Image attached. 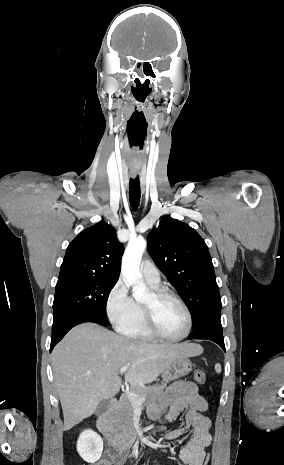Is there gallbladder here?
<instances>
[{"label": "gallbladder", "instance_id": "1", "mask_svg": "<svg viewBox=\"0 0 284 465\" xmlns=\"http://www.w3.org/2000/svg\"><path fill=\"white\" fill-rule=\"evenodd\" d=\"M108 405H109V399H103V401L99 403L95 411V415H102V413H105V411H107Z\"/></svg>", "mask_w": 284, "mask_h": 465}]
</instances>
